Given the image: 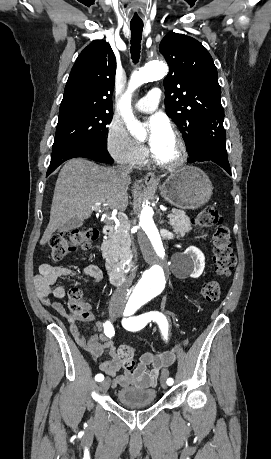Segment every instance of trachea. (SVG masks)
I'll return each instance as SVG.
<instances>
[{"label":"trachea","instance_id":"1","mask_svg":"<svg viewBox=\"0 0 271 459\" xmlns=\"http://www.w3.org/2000/svg\"><path fill=\"white\" fill-rule=\"evenodd\" d=\"M131 29V56L134 63L139 61L141 50V38L143 32V24L130 25Z\"/></svg>","mask_w":271,"mask_h":459}]
</instances>
